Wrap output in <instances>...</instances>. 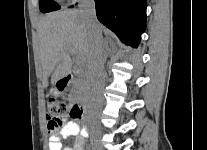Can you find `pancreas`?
I'll return each mask as SVG.
<instances>
[{"mask_svg":"<svg viewBox=\"0 0 207 150\" xmlns=\"http://www.w3.org/2000/svg\"><path fill=\"white\" fill-rule=\"evenodd\" d=\"M89 82V77L87 74H82L80 79H75L72 85V91L76 90H86Z\"/></svg>","mask_w":207,"mask_h":150,"instance_id":"1","label":"pancreas"}]
</instances>
